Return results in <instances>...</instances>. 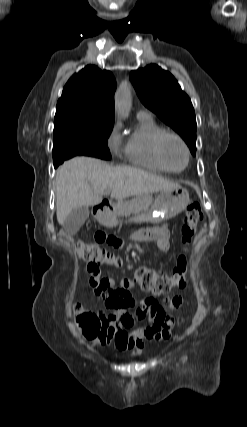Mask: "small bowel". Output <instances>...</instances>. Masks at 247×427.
Returning <instances> with one entry per match:
<instances>
[{"mask_svg":"<svg viewBox=\"0 0 247 427\" xmlns=\"http://www.w3.org/2000/svg\"><path fill=\"white\" fill-rule=\"evenodd\" d=\"M95 239L96 245H105L112 250H120L124 244L122 239L105 229H96ZM133 239L138 242L153 241L163 252L170 248V230L167 225L140 230L133 235ZM86 268L93 294L104 308L111 311L107 315L102 309L98 312L105 327L102 341H113L118 349L125 350L143 349L146 346L145 340L159 342L169 339L174 318L166 310L180 307L181 296L173 295L164 299L162 304L152 298L138 301L131 293L135 286L132 280L101 278L100 268L94 263H88ZM137 320H145V323L134 327Z\"/></svg>","mask_w":247,"mask_h":427,"instance_id":"obj_1","label":"small bowel"}]
</instances>
